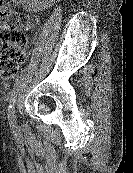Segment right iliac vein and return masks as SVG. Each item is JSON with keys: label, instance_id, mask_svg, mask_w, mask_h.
I'll use <instances>...</instances> for the list:
<instances>
[{"label": "right iliac vein", "instance_id": "63e3f726", "mask_svg": "<svg viewBox=\"0 0 133 173\" xmlns=\"http://www.w3.org/2000/svg\"><path fill=\"white\" fill-rule=\"evenodd\" d=\"M17 94L14 100V105H13V109H12V123L13 125H15L16 123V107H17Z\"/></svg>", "mask_w": 133, "mask_h": 173}]
</instances>
